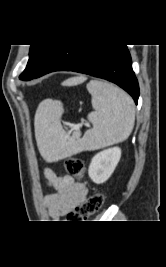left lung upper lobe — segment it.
<instances>
[{"label": "left lung upper lobe", "mask_w": 166, "mask_h": 267, "mask_svg": "<svg viewBox=\"0 0 166 267\" xmlns=\"http://www.w3.org/2000/svg\"><path fill=\"white\" fill-rule=\"evenodd\" d=\"M58 46L59 45H31L26 69L19 78L24 81L33 79L45 60Z\"/></svg>", "instance_id": "5c2ea615"}]
</instances>
